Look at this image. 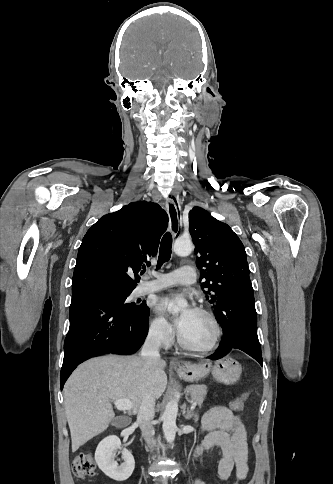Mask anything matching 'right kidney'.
<instances>
[{
    "label": "right kidney",
    "mask_w": 333,
    "mask_h": 484,
    "mask_svg": "<svg viewBox=\"0 0 333 484\" xmlns=\"http://www.w3.org/2000/svg\"><path fill=\"white\" fill-rule=\"evenodd\" d=\"M117 449H122L121 441L117 436L111 435L104 438L95 451V461L100 470L109 478L116 481H125L132 475L135 461L131 452L123 449L124 463L119 466L115 460Z\"/></svg>",
    "instance_id": "ca27d5eb"
}]
</instances>
